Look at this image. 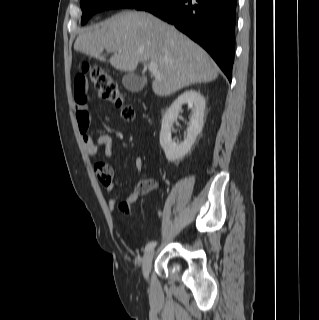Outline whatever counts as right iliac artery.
I'll list each match as a JSON object with an SVG mask.
<instances>
[{"instance_id":"obj_1","label":"right iliac artery","mask_w":319,"mask_h":320,"mask_svg":"<svg viewBox=\"0 0 319 320\" xmlns=\"http://www.w3.org/2000/svg\"><path fill=\"white\" fill-rule=\"evenodd\" d=\"M156 244H157L156 241L149 242L145 247V251L153 250L155 248Z\"/></svg>"}]
</instances>
